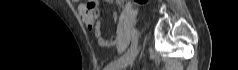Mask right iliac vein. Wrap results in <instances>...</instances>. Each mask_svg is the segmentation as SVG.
<instances>
[{
	"label": "right iliac vein",
	"mask_w": 238,
	"mask_h": 70,
	"mask_svg": "<svg viewBox=\"0 0 238 70\" xmlns=\"http://www.w3.org/2000/svg\"><path fill=\"white\" fill-rule=\"evenodd\" d=\"M138 53V50H135L128 58L125 60L121 61L116 67L113 68V70H120L125 68L127 65H129L136 57Z\"/></svg>",
	"instance_id": "1"
}]
</instances>
